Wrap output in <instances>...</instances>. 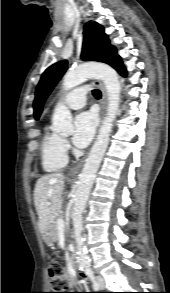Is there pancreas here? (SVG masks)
I'll use <instances>...</instances> for the list:
<instances>
[{"label": "pancreas", "instance_id": "pancreas-1", "mask_svg": "<svg viewBox=\"0 0 170 293\" xmlns=\"http://www.w3.org/2000/svg\"><path fill=\"white\" fill-rule=\"evenodd\" d=\"M63 218V214L59 213L58 216L55 218L54 222L51 224V232L53 235L56 237L57 236V231H58V225L57 222L59 219Z\"/></svg>", "mask_w": 170, "mask_h": 293}]
</instances>
